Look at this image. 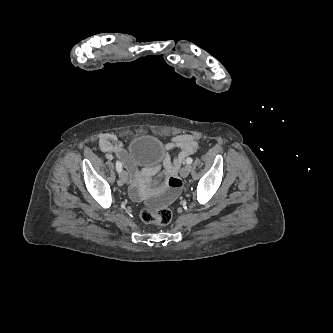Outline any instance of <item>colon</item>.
I'll list each match as a JSON object with an SVG mask.
<instances>
[{
  "label": "colon",
  "mask_w": 333,
  "mask_h": 333,
  "mask_svg": "<svg viewBox=\"0 0 333 333\" xmlns=\"http://www.w3.org/2000/svg\"><path fill=\"white\" fill-rule=\"evenodd\" d=\"M141 220L146 224L166 225L172 219V213L169 208H150L143 207L140 211Z\"/></svg>",
  "instance_id": "colon-1"
}]
</instances>
